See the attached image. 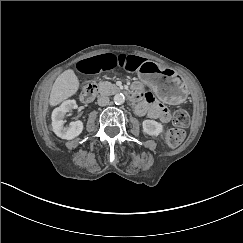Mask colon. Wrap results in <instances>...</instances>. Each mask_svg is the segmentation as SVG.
<instances>
[{"mask_svg": "<svg viewBox=\"0 0 243 243\" xmlns=\"http://www.w3.org/2000/svg\"><path fill=\"white\" fill-rule=\"evenodd\" d=\"M173 127L165 131L164 139L168 146H178L185 137L184 128L189 123V116L184 110H176L172 115Z\"/></svg>", "mask_w": 243, "mask_h": 243, "instance_id": "colon-1", "label": "colon"}]
</instances>
